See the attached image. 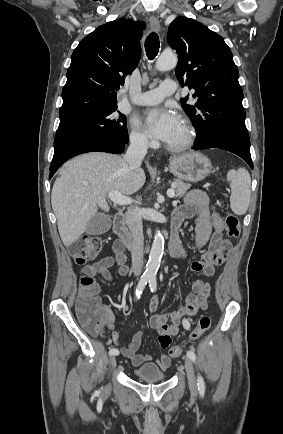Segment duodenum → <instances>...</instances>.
<instances>
[{
	"mask_svg": "<svg viewBox=\"0 0 283 434\" xmlns=\"http://www.w3.org/2000/svg\"><path fill=\"white\" fill-rule=\"evenodd\" d=\"M113 231L117 235L119 242L124 248L133 250L134 249V240L126 227L125 223V214L123 212H117L114 215L113 220ZM178 227L171 225L170 230V242L176 241L179 238Z\"/></svg>",
	"mask_w": 283,
	"mask_h": 434,
	"instance_id": "duodenum-1",
	"label": "duodenum"
}]
</instances>
